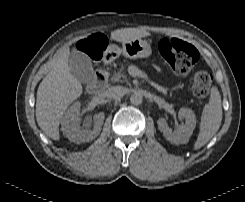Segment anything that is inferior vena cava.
<instances>
[{"instance_id": "inferior-vena-cava-1", "label": "inferior vena cava", "mask_w": 245, "mask_h": 202, "mask_svg": "<svg viewBox=\"0 0 245 202\" xmlns=\"http://www.w3.org/2000/svg\"><path fill=\"white\" fill-rule=\"evenodd\" d=\"M125 94V88L122 86H112L105 91V95L108 98L120 99Z\"/></svg>"}]
</instances>
